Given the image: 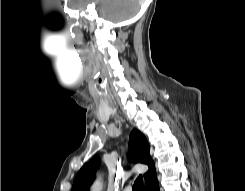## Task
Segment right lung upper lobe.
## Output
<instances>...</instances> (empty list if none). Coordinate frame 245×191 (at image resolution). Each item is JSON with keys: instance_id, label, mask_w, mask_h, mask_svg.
<instances>
[{"instance_id": "1", "label": "right lung upper lobe", "mask_w": 245, "mask_h": 191, "mask_svg": "<svg viewBox=\"0 0 245 191\" xmlns=\"http://www.w3.org/2000/svg\"><path fill=\"white\" fill-rule=\"evenodd\" d=\"M129 147L135 162L147 164L149 170L144 174L145 184L156 178V170L150 156L149 144L145 136L138 130L130 134ZM100 164L99 157H94L78 172L72 187V191H88L93 181L94 173Z\"/></svg>"}]
</instances>
